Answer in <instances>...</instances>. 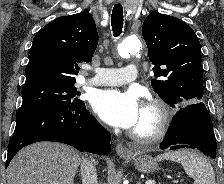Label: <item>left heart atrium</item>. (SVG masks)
Masks as SVG:
<instances>
[{"label":"left heart atrium","mask_w":224,"mask_h":184,"mask_svg":"<svg viewBox=\"0 0 224 184\" xmlns=\"http://www.w3.org/2000/svg\"><path fill=\"white\" fill-rule=\"evenodd\" d=\"M92 105L94 111L104 122L124 129H133L142 112L138 95L131 91H99L95 95Z\"/></svg>","instance_id":"obj_1"}]
</instances>
